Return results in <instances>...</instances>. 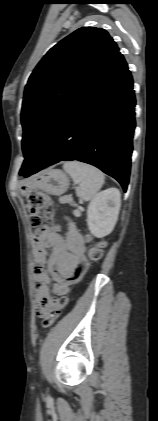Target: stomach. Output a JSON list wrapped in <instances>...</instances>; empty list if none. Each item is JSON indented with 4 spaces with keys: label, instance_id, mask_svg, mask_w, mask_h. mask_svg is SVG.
<instances>
[{
    "label": "stomach",
    "instance_id": "0dacf381",
    "mask_svg": "<svg viewBox=\"0 0 158 421\" xmlns=\"http://www.w3.org/2000/svg\"><path fill=\"white\" fill-rule=\"evenodd\" d=\"M70 181L61 170L49 169L35 177L26 186L24 193L40 190L51 195H61L69 188Z\"/></svg>",
    "mask_w": 158,
    "mask_h": 421
}]
</instances>
